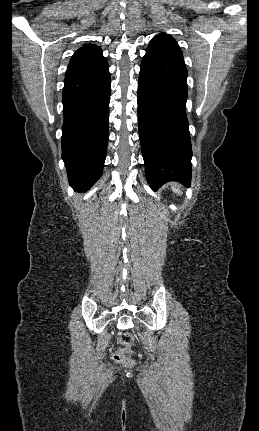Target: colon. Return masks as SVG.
<instances>
[{
	"mask_svg": "<svg viewBox=\"0 0 259 431\" xmlns=\"http://www.w3.org/2000/svg\"><path fill=\"white\" fill-rule=\"evenodd\" d=\"M120 341V348L114 353V359L126 366L131 367L134 365V361L127 356L128 352L130 351V348L132 347L134 343V337L129 332H124L119 337Z\"/></svg>",
	"mask_w": 259,
	"mask_h": 431,
	"instance_id": "obj_1",
	"label": "colon"
}]
</instances>
